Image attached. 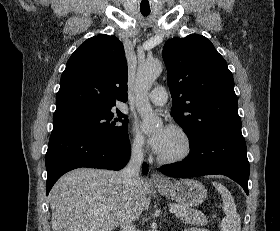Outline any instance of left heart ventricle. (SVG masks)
Returning a JSON list of instances; mask_svg holds the SVG:
<instances>
[{
	"instance_id": "obj_1",
	"label": "left heart ventricle",
	"mask_w": 280,
	"mask_h": 231,
	"mask_svg": "<svg viewBox=\"0 0 280 231\" xmlns=\"http://www.w3.org/2000/svg\"><path fill=\"white\" fill-rule=\"evenodd\" d=\"M183 147V143L181 139L175 134L173 131V136L168 144L167 148L164 150V152L161 154L163 156H170L175 154L176 152L180 151Z\"/></svg>"
}]
</instances>
